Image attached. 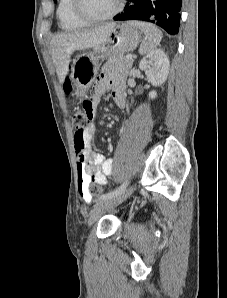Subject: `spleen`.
I'll return each instance as SVG.
<instances>
[{
  "label": "spleen",
  "mask_w": 227,
  "mask_h": 298,
  "mask_svg": "<svg viewBox=\"0 0 227 298\" xmlns=\"http://www.w3.org/2000/svg\"><path fill=\"white\" fill-rule=\"evenodd\" d=\"M129 23L144 33V40L140 45L139 53L145 55L154 51L162 39V32L150 23L140 21H131Z\"/></svg>",
  "instance_id": "obj_1"
}]
</instances>
